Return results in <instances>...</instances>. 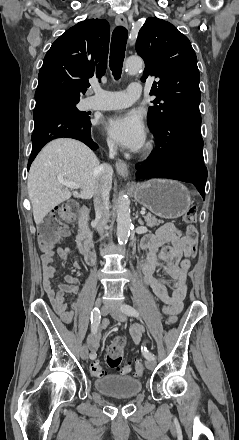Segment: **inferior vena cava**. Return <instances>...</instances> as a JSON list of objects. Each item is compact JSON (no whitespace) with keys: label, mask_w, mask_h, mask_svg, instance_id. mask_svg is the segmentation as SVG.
<instances>
[{"label":"inferior vena cava","mask_w":239,"mask_h":440,"mask_svg":"<svg viewBox=\"0 0 239 440\" xmlns=\"http://www.w3.org/2000/svg\"><path fill=\"white\" fill-rule=\"evenodd\" d=\"M109 146V158H115L117 154V146L112 140L107 142ZM98 180L94 190V208H95V222L99 234H104L105 226L110 218L109 212V192L111 190L113 168L109 164H101L96 168ZM103 307H114V304L106 302Z\"/></svg>","instance_id":"inferior-vena-cava-1"}]
</instances>
